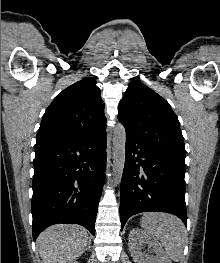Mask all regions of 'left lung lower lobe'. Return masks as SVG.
I'll return each mask as SVG.
<instances>
[{"instance_id":"1","label":"left lung lower lobe","mask_w":220,"mask_h":263,"mask_svg":"<svg viewBox=\"0 0 220 263\" xmlns=\"http://www.w3.org/2000/svg\"><path fill=\"white\" fill-rule=\"evenodd\" d=\"M185 160L126 135L121 181V230L140 212H167L187 223Z\"/></svg>"}]
</instances>
